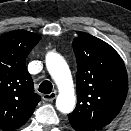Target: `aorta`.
<instances>
[{"label":"aorta","mask_w":131,"mask_h":131,"mask_svg":"<svg viewBox=\"0 0 131 131\" xmlns=\"http://www.w3.org/2000/svg\"><path fill=\"white\" fill-rule=\"evenodd\" d=\"M46 66L59 89L56 99L57 109L62 113H70L75 107L76 98L66 61L59 54L51 52L46 56Z\"/></svg>","instance_id":"762f6f07"}]
</instances>
